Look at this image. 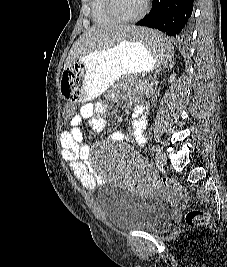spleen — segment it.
I'll list each match as a JSON object with an SVG mask.
<instances>
[{
	"instance_id": "obj_1",
	"label": "spleen",
	"mask_w": 227,
	"mask_h": 267,
	"mask_svg": "<svg viewBox=\"0 0 227 267\" xmlns=\"http://www.w3.org/2000/svg\"><path fill=\"white\" fill-rule=\"evenodd\" d=\"M121 29L133 30V33H127L130 43H141V47H148L155 63H172V55H175L174 38H165L164 31L141 25H122Z\"/></svg>"
}]
</instances>
